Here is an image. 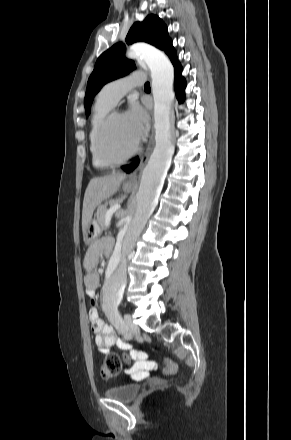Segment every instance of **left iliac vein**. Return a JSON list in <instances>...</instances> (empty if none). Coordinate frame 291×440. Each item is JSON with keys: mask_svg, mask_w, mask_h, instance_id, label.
I'll list each match as a JSON object with an SVG mask.
<instances>
[{"mask_svg": "<svg viewBox=\"0 0 291 440\" xmlns=\"http://www.w3.org/2000/svg\"><path fill=\"white\" fill-rule=\"evenodd\" d=\"M124 321L128 327V332L124 333L125 338L131 339L133 335H139L140 329L133 321V318L129 314L124 315Z\"/></svg>", "mask_w": 291, "mask_h": 440, "instance_id": "left-iliac-vein-1", "label": "left iliac vein"}]
</instances>
